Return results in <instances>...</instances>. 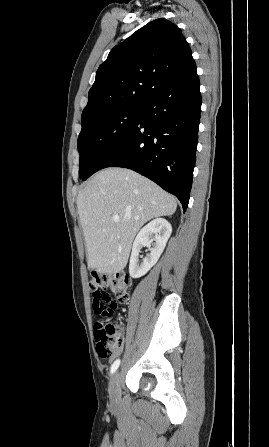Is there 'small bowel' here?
<instances>
[{"label":"small bowel","mask_w":269,"mask_h":447,"mask_svg":"<svg viewBox=\"0 0 269 447\" xmlns=\"http://www.w3.org/2000/svg\"><path fill=\"white\" fill-rule=\"evenodd\" d=\"M120 353V349L114 353V356H117Z\"/></svg>","instance_id":"c3829d8e"}]
</instances>
